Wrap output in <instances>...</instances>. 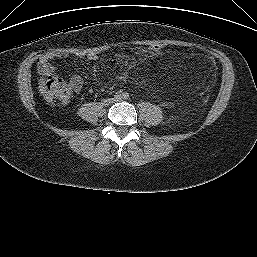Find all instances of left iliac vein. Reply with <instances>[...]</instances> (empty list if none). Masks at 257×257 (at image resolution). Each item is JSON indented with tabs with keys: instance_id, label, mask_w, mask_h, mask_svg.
<instances>
[{
	"instance_id": "1",
	"label": "left iliac vein",
	"mask_w": 257,
	"mask_h": 257,
	"mask_svg": "<svg viewBox=\"0 0 257 257\" xmlns=\"http://www.w3.org/2000/svg\"><path fill=\"white\" fill-rule=\"evenodd\" d=\"M119 101H121V98L115 100V102H119Z\"/></svg>"
}]
</instances>
